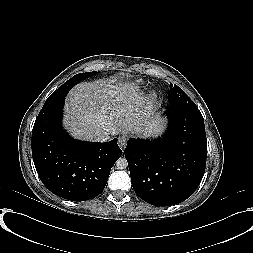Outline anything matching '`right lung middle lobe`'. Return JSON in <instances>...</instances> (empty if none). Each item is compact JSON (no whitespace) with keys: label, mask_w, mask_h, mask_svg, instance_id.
<instances>
[{"label":"right lung middle lobe","mask_w":253,"mask_h":253,"mask_svg":"<svg viewBox=\"0 0 253 253\" xmlns=\"http://www.w3.org/2000/svg\"><path fill=\"white\" fill-rule=\"evenodd\" d=\"M95 73L96 72H86V73H80V74H77V75L73 76L71 79L66 81L61 87H59L55 92H53L52 95L46 100L44 105L51 104V103L59 101L62 97L66 96L68 91L74 85H76L82 79H85L89 76H92Z\"/></svg>","instance_id":"obj_1"}]
</instances>
